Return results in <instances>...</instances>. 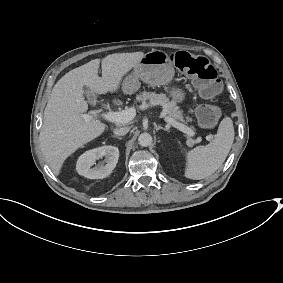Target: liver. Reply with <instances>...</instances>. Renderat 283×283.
I'll list each match as a JSON object with an SVG mask.
<instances>
[{
    "label": "liver",
    "mask_w": 283,
    "mask_h": 283,
    "mask_svg": "<svg viewBox=\"0 0 283 283\" xmlns=\"http://www.w3.org/2000/svg\"><path fill=\"white\" fill-rule=\"evenodd\" d=\"M143 56V52L106 56L101 62L102 77L98 76L100 59H94L69 71L54 85L39 136L41 151L54 174H59L68 156L105 130L99 120L84 118L88 104L83 87L97 94L117 91L122 77Z\"/></svg>",
    "instance_id": "liver-1"
}]
</instances>
